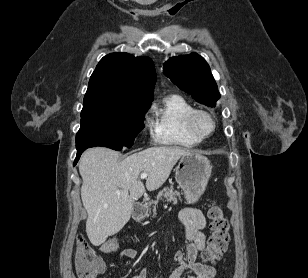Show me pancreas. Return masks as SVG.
<instances>
[{
    "label": "pancreas",
    "instance_id": "pancreas-1",
    "mask_svg": "<svg viewBox=\"0 0 308 278\" xmlns=\"http://www.w3.org/2000/svg\"><path fill=\"white\" fill-rule=\"evenodd\" d=\"M165 198L167 202H171L172 204L176 205L178 203V199L180 200V194L178 191L174 190L173 187H164L162 190L159 191L157 198L155 201H152L148 204V206L158 204L159 200ZM155 212V210H153Z\"/></svg>",
    "mask_w": 308,
    "mask_h": 278
}]
</instances>
